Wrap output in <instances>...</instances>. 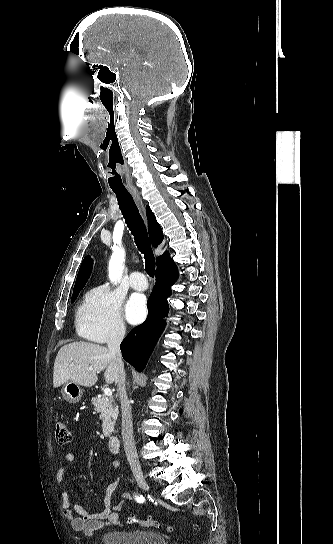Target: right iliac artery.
<instances>
[{"label":"right iliac artery","instance_id":"right-iliac-artery-1","mask_svg":"<svg viewBox=\"0 0 333 544\" xmlns=\"http://www.w3.org/2000/svg\"><path fill=\"white\" fill-rule=\"evenodd\" d=\"M135 499H136L137 502H144V497L142 495L137 496V497L135 496Z\"/></svg>","mask_w":333,"mask_h":544}]
</instances>
